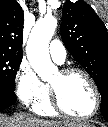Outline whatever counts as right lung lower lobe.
Instances as JSON below:
<instances>
[{"label":"right lung lower lobe","instance_id":"1","mask_svg":"<svg viewBox=\"0 0 108 127\" xmlns=\"http://www.w3.org/2000/svg\"><path fill=\"white\" fill-rule=\"evenodd\" d=\"M16 99L14 91L0 87V111L11 106Z\"/></svg>","mask_w":108,"mask_h":127}]
</instances>
